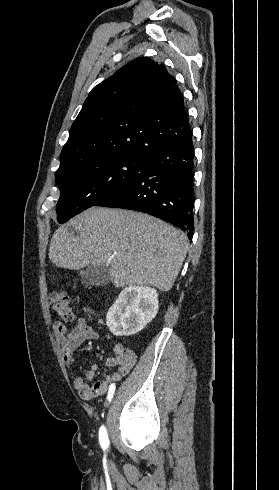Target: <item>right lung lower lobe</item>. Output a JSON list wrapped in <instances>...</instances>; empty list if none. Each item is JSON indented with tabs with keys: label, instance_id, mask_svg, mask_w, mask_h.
<instances>
[{
	"label": "right lung lower lobe",
	"instance_id": "98d812e1",
	"mask_svg": "<svg viewBox=\"0 0 279 490\" xmlns=\"http://www.w3.org/2000/svg\"><path fill=\"white\" fill-rule=\"evenodd\" d=\"M194 147L192 136L154 155L145 172L94 206L141 211L185 231H194Z\"/></svg>",
	"mask_w": 279,
	"mask_h": 490
}]
</instances>
